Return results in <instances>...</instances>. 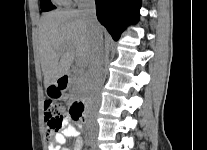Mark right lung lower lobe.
<instances>
[{"label": "right lung lower lobe", "instance_id": "1", "mask_svg": "<svg viewBox=\"0 0 207 150\" xmlns=\"http://www.w3.org/2000/svg\"><path fill=\"white\" fill-rule=\"evenodd\" d=\"M99 22L106 27L114 40L139 17L141 0H95Z\"/></svg>", "mask_w": 207, "mask_h": 150}]
</instances>
